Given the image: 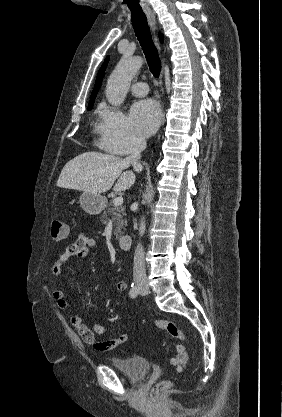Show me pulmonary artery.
Returning a JSON list of instances; mask_svg holds the SVG:
<instances>
[{
    "label": "pulmonary artery",
    "mask_w": 282,
    "mask_h": 417,
    "mask_svg": "<svg viewBox=\"0 0 282 417\" xmlns=\"http://www.w3.org/2000/svg\"><path fill=\"white\" fill-rule=\"evenodd\" d=\"M131 92L135 96H144L148 93V85L144 82H138L133 84L131 87Z\"/></svg>",
    "instance_id": "pulmonary-artery-1"
}]
</instances>
